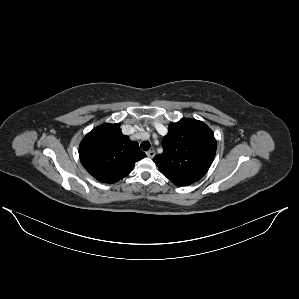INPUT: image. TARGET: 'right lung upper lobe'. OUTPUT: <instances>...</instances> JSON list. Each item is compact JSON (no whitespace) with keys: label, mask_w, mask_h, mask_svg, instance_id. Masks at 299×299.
Segmentation results:
<instances>
[{"label":"right lung upper lobe","mask_w":299,"mask_h":299,"mask_svg":"<svg viewBox=\"0 0 299 299\" xmlns=\"http://www.w3.org/2000/svg\"><path fill=\"white\" fill-rule=\"evenodd\" d=\"M145 156L137 142L122 134L119 124L106 123L93 129L79 146L84 168L104 183H115L124 178L135 162Z\"/></svg>","instance_id":"cb5924a9"}]
</instances>
